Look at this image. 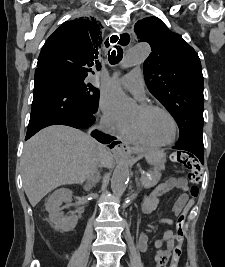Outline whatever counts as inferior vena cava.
<instances>
[{
	"instance_id": "602c4592",
	"label": "inferior vena cava",
	"mask_w": 225,
	"mask_h": 267,
	"mask_svg": "<svg viewBox=\"0 0 225 267\" xmlns=\"http://www.w3.org/2000/svg\"><path fill=\"white\" fill-rule=\"evenodd\" d=\"M100 130L102 132L106 133V134H112L111 125L106 120L101 121ZM106 152H107L106 147L104 145H102V144H98V155H97V158H96V163L92 167V169L90 170L89 175H88V182L87 183L92 184V186L96 182H98L99 177H100V174H99V172L97 171V168H96V164H98L99 162L102 161V158L106 154Z\"/></svg>"
}]
</instances>
